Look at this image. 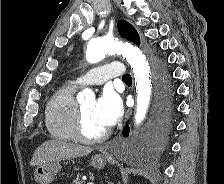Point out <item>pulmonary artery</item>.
I'll return each mask as SVG.
<instances>
[{
  "label": "pulmonary artery",
  "mask_w": 224,
  "mask_h": 184,
  "mask_svg": "<svg viewBox=\"0 0 224 184\" xmlns=\"http://www.w3.org/2000/svg\"><path fill=\"white\" fill-rule=\"evenodd\" d=\"M126 74L123 65L118 61H111L103 66L82 73L76 78L80 85H101L114 77Z\"/></svg>",
  "instance_id": "1"
}]
</instances>
